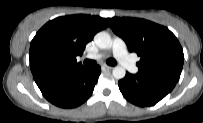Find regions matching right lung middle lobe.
Segmentation results:
<instances>
[{
    "instance_id": "obj_1",
    "label": "right lung middle lobe",
    "mask_w": 203,
    "mask_h": 123,
    "mask_svg": "<svg viewBox=\"0 0 203 123\" xmlns=\"http://www.w3.org/2000/svg\"><path fill=\"white\" fill-rule=\"evenodd\" d=\"M60 66L59 53L52 48L43 47L35 50L30 55L31 70H43Z\"/></svg>"
}]
</instances>
